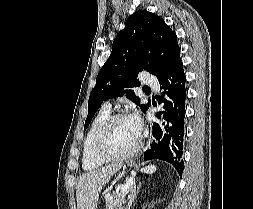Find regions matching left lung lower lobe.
<instances>
[{
  "instance_id": "1",
  "label": "left lung lower lobe",
  "mask_w": 253,
  "mask_h": 209,
  "mask_svg": "<svg viewBox=\"0 0 253 209\" xmlns=\"http://www.w3.org/2000/svg\"><path fill=\"white\" fill-rule=\"evenodd\" d=\"M185 82L186 76L181 60L159 80L161 89H163L159 104H164V111L157 113L161 123L155 122L149 125L150 146L144 153V160L160 159L171 163L180 176H182L184 167L181 156L187 95Z\"/></svg>"
}]
</instances>
